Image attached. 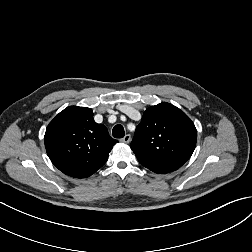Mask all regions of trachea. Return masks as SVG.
I'll list each match as a JSON object with an SVG mask.
<instances>
[{
  "label": "trachea",
  "instance_id": "trachea-1",
  "mask_svg": "<svg viewBox=\"0 0 252 252\" xmlns=\"http://www.w3.org/2000/svg\"><path fill=\"white\" fill-rule=\"evenodd\" d=\"M113 137L115 138H123L125 135V131L122 125H116L114 126L112 130Z\"/></svg>",
  "mask_w": 252,
  "mask_h": 252
}]
</instances>
